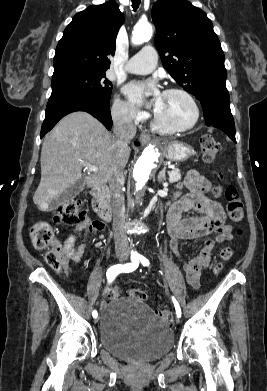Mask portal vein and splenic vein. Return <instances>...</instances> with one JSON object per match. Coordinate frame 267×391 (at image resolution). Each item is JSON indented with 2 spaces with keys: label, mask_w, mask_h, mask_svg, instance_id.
<instances>
[{
  "label": "portal vein and splenic vein",
  "mask_w": 267,
  "mask_h": 391,
  "mask_svg": "<svg viewBox=\"0 0 267 391\" xmlns=\"http://www.w3.org/2000/svg\"><path fill=\"white\" fill-rule=\"evenodd\" d=\"M82 164L86 167L87 170L97 172L99 171V168L97 166L90 165L86 162H82ZM169 168H173V166H169Z\"/></svg>",
  "instance_id": "portal-vein-and-splenic-vein-1"
}]
</instances>
